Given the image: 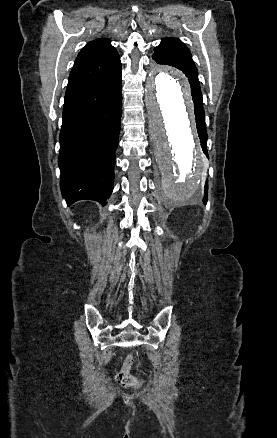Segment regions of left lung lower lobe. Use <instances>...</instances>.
<instances>
[{
	"instance_id": "obj_1",
	"label": "left lung lower lobe",
	"mask_w": 277,
	"mask_h": 438,
	"mask_svg": "<svg viewBox=\"0 0 277 438\" xmlns=\"http://www.w3.org/2000/svg\"><path fill=\"white\" fill-rule=\"evenodd\" d=\"M195 119H196V126H197L198 136L200 138L202 150L208 156L207 148H206L207 132H206V127H205L204 113L195 112ZM206 201H207V185H206V189H205L204 203H206Z\"/></svg>"
}]
</instances>
